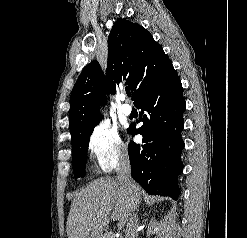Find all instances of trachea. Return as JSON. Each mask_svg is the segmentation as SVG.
Here are the masks:
<instances>
[{"label": "trachea", "mask_w": 247, "mask_h": 238, "mask_svg": "<svg viewBox=\"0 0 247 238\" xmlns=\"http://www.w3.org/2000/svg\"><path fill=\"white\" fill-rule=\"evenodd\" d=\"M126 94H127L128 97L131 96V92L130 91H126Z\"/></svg>", "instance_id": "3493384b"}]
</instances>
